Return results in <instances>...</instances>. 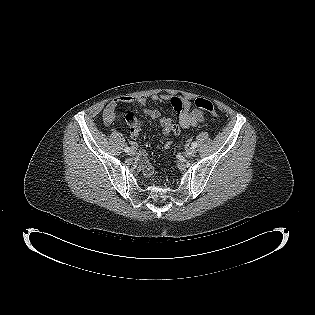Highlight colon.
<instances>
[{
	"mask_svg": "<svg viewBox=\"0 0 315 315\" xmlns=\"http://www.w3.org/2000/svg\"><path fill=\"white\" fill-rule=\"evenodd\" d=\"M195 106L203 111L208 112L213 117V119H218V114L211 101L203 98H198L195 100ZM126 121L131 125V130L139 124V121L134 114H128L126 116Z\"/></svg>",
	"mask_w": 315,
	"mask_h": 315,
	"instance_id": "obj_1",
	"label": "colon"
}]
</instances>
